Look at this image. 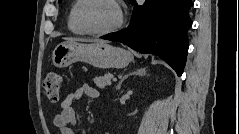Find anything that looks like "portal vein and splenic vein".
Segmentation results:
<instances>
[{"label":"portal vein and splenic vein","mask_w":239,"mask_h":134,"mask_svg":"<svg viewBox=\"0 0 239 134\" xmlns=\"http://www.w3.org/2000/svg\"><path fill=\"white\" fill-rule=\"evenodd\" d=\"M113 81H114V82L117 81V78H113Z\"/></svg>","instance_id":"portal-vein-and-splenic-vein-1"}]
</instances>
